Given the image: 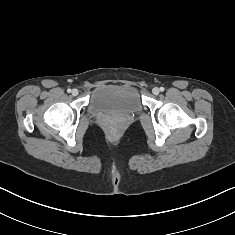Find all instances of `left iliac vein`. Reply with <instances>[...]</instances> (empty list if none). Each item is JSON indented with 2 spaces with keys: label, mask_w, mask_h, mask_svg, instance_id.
<instances>
[{
  "label": "left iliac vein",
  "mask_w": 235,
  "mask_h": 235,
  "mask_svg": "<svg viewBox=\"0 0 235 235\" xmlns=\"http://www.w3.org/2000/svg\"><path fill=\"white\" fill-rule=\"evenodd\" d=\"M159 92H160V90H159V88H157V87H154V88L152 89V93H153L154 95H158Z\"/></svg>",
  "instance_id": "left-iliac-vein-1"
}]
</instances>
